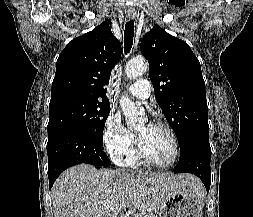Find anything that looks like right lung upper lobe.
Wrapping results in <instances>:
<instances>
[{
    "mask_svg": "<svg viewBox=\"0 0 253 217\" xmlns=\"http://www.w3.org/2000/svg\"><path fill=\"white\" fill-rule=\"evenodd\" d=\"M121 58V44L107 22L70 41L58 57L50 103L63 99L108 102L105 85Z\"/></svg>",
    "mask_w": 253,
    "mask_h": 217,
    "instance_id": "obj_1",
    "label": "right lung upper lobe"
}]
</instances>
